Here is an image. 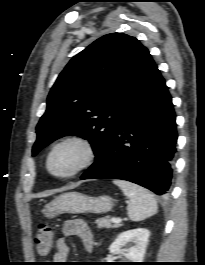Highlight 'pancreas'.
I'll return each instance as SVG.
<instances>
[{
	"label": "pancreas",
	"mask_w": 205,
	"mask_h": 265,
	"mask_svg": "<svg viewBox=\"0 0 205 265\" xmlns=\"http://www.w3.org/2000/svg\"><path fill=\"white\" fill-rule=\"evenodd\" d=\"M96 223H97L99 228H118L121 226V224H119V223L113 224L109 217L98 218L96 220Z\"/></svg>",
	"instance_id": "cf45deb5"
}]
</instances>
